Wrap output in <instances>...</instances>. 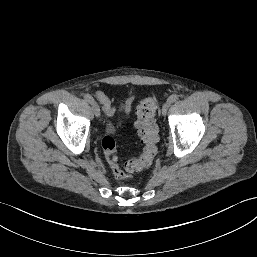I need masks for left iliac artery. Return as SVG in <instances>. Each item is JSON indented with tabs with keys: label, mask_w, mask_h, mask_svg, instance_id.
I'll return each mask as SVG.
<instances>
[{
	"label": "left iliac artery",
	"mask_w": 257,
	"mask_h": 257,
	"mask_svg": "<svg viewBox=\"0 0 257 257\" xmlns=\"http://www.w3.org/2000/svg\"><path fill=\"white\" fill-rule=\"evenodd\" d=\"M179 99V96L177 95V94H172L169 98H168V100L170 101V102H176L177 100Z\"/></svg>",
	"instance_id": "obj_1"
}]
</instances>
